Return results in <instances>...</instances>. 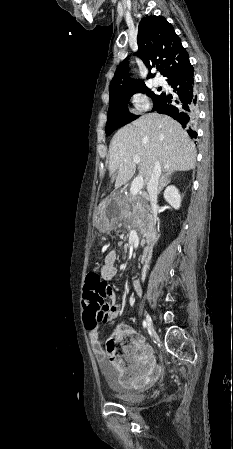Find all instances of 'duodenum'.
<instances>
[{"label":"duodenum","instance_id":"obj_1","mask_svg":"<svg viewBox=\"0 0 233 449\" xmlns=\"http://www.w3.org/2000/svg\"><path fill=\"white\" fill-rule=\"evenodd\" d=\"M151 244H152V248H148L147 250H145V251L142 253L141 260H142L144 263H149L150 260H151V258H152V255H153V252H154V246L156 245V240H155L154 238L151 240ZM133 291H134V290H133ZM134 292H135V291H134Z\"/></svg>","mask_w":233,"mask_h":449}]
</instances>
